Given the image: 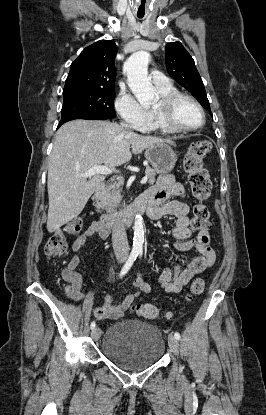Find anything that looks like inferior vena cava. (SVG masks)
<instances>
[{
  "instance_id": "obj_1",
  "label": "inferior vena cava",
  "mask_w": 266,
  "mask_h": 415,
  "mask_svg": "<svg viewBox=\"0 0 266 415\" xmlns=\"http://www.w3.org/2000/svg\"><path fill=\"white\" fill-rule=\"evenodd\" d=\"M121 126L125 129L129 128V125L125 123H121ZM112 244L117 258L128 257L129 244L123 221H118L112 230Z\"/></svg>"
}]
</instances>
